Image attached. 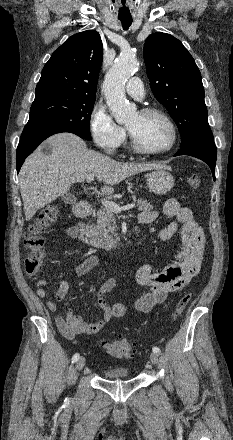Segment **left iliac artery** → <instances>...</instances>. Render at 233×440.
<instances>
[{
	"mask_svg": "<svg viewBox=\"0 0 233 440\" xmlns=\"http://www.w3.org/2000/svg\"><path fill=\"white\" fill-rule=\"evenodd\" d=\"M153 352H155L156 354H160V349L158 347H153Z\"/></svg>",
	"mask_w": 233,
	"mask_h": 440,
	"instance_id": "44dca946",
	"label": "left iliac artery"
}]
</instances>
